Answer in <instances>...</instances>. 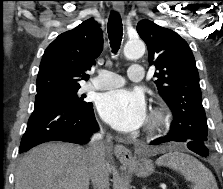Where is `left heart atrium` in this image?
<instances>
[{
	"label": "left heart atrium",
	"instance_id": "obj_1",
	"mask_svg": "<svg viewBox=\"0 0 223 189\" xmlns=\"http://www.w3.org/2000/svg\"><path fill=\"white\" fill-rule=\"evenodd\" d=\"M98 111L105 122L121 132L140 128L147 118L143 94L127 89L102 94L98 100Z\"/></svg>",
	"mask_w": 223,
	"mask_h": 189
}]
</instances>
